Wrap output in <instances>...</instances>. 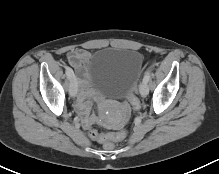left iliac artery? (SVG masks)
<instances>
[{"label": "left iliac artery", "mask_w": 219, "mask_h": 174, "mask_svg": "<svg viewBox=\"0 0 219 174\" xmlns=\"http://www.w3.org/2000/svg\"><path fill=\"white\" fill-rule=\"evenodd\" d=\"M150 76H151V69L149 68V69L145 72L143 81H144L145 83H148L149 80H150Z\"/></svg>", "instance_id": "obj_1"}]
</instances>
